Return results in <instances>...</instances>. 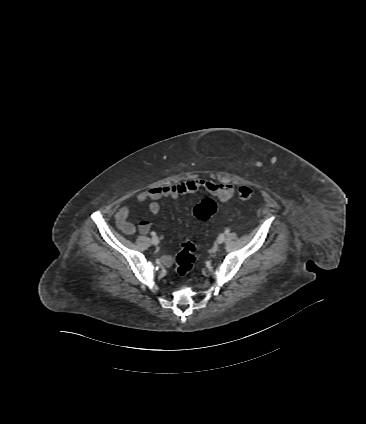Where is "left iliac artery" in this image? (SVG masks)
<instances>
[{
    "label": "left iliac artery",
    "instance_id": "left-iliac-artery-1",
    "mask_svg": "<svg viewBox=\"0 0 366 424\" xmlns=\"http://www.w3.org/2000/svg\"><path fill=\"white\" fill-rule=\"evenodd\" d=\"M229 232H230V230H229V229H226V230H225V234H229Z\"/></svg>",
    "mask_w": 366,
    "mask_h": 424
}]
</instances>
